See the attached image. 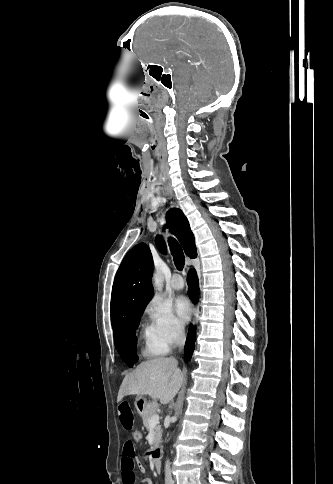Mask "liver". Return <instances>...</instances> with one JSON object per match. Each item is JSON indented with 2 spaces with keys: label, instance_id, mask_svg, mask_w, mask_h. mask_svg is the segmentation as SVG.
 I'll return each mask as SVG.
<instances>
[{
  "label": "liver",
  "instance_id": "1",
  "mask_svg": "<svg viewBox=\"0 0 333 484\" xmlns=\"http://www.w3.org/2000/svg\"><path fill=\"white\" fill-rule=\"evenodd\" d=\"M183 383V373L175 358H155L142 362L127 374L120 386L117 402L125 396L148 395L161 404L171 402Z\"/></svg>",
  "mask_w": 333,
  "mask_h": 484
}]
</instances>
